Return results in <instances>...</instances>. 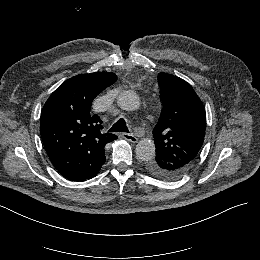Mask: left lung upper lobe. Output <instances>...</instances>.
<instances>
[{"label": "left lung upper lobe", "mask_w": 260, "mask_h": 260, "mask_svg": "<svg viewBox=\"0 0 260 260\" xmlns=\"http://www.w3.org/2000/svg\"><path fill=\"white\" fill-rule=\"evenodd\" d=\"M163 109L153 130L156 157L147 169L154 176L175 179L196 160L205 135L201 100L183 79L159 73Z\"/></svg>", "instance_id": "left-lung-upper-lobe-1"}]
</instances>
